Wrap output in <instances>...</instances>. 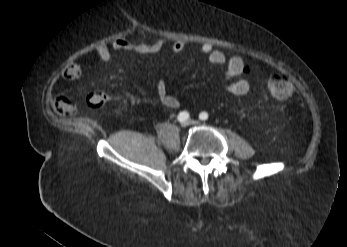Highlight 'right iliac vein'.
<instances>
[{
	"mask_svg": "<svg viewBox=\"0 0 347 247\" xmlns=\"http://www.w3.org/2000/svg\"><path fill=\"white\" fill-rule=\"evenodd\" d=\"M189 125H190V122H189V121L183 122V123L181 124V126H182L183 128H186V127H188Z\"/></svg>",
	"mask_w": 347,
	"mask_h": 247,
	"instance_id": "obj_1",
	"label": "right iliac vein"
}]
</instances>
